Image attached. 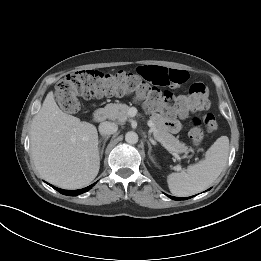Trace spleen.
Wrapping results in <instances>:
<instances>
[{
    "mask_svg": "<svg viewBox=\"0 0 261 261\" xmlns=\"http://www.w3.org/2000/svg\"><path fill=\"white\" fill-rule=\"evenodd\" d=\"M229 156V138L219 137L206 151L205 159L187 170L167 176L170 192L179 197L199 193L208 188L224 169Z\"/></svg>",
    "mask_w": 261,
    "mask_h": 261,
    "instance_id": "obj_1",
    "label": "spleen"
}]
</instances>
